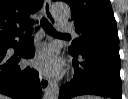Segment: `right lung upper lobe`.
<instances>
[{
	"label": "right lung upper lobe",
	"mask_w": 128,
	"mask_h": 99,
	"mask_svg": "<svg viewBox=\"0 0 128 99\" xmlns=\"http://www.w3.org/2000/svg\"><path fill=\"white\" fill-rule=\"evenodd\" d=\"M42 4L43 0H0V41L21 33Z\"/></svg>",
	"instance_id": "obj_1"
}]
</instances>
